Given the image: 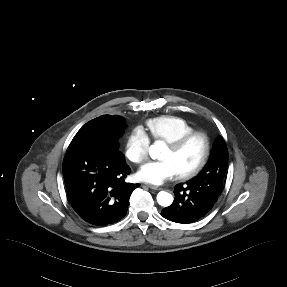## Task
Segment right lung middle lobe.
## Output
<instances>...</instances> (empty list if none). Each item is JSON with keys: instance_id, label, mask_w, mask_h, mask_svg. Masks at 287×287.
Instances as JSON below:
<instances>
[{"instance_id": "dd1d6c3e", "label": "right lung middle lobe", "mask_w": 287, "mask_h": 287, "mask_svg": "<svg viewBox=\"0 0 287 287\" xmlns=\"http://www.w3.org/2000/svg\"><path fill=\"white\" fill-rule=\"evenodd\" d=\"M125 120L121 116L102 115L87 122L75 135L67 150L81 147L102 148L116 152L117 139L123 134Z\"/></svg>"}]
</instances>
